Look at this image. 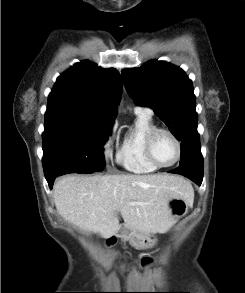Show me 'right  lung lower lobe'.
I'll return each instance as SVG.
<instances>
[{
  "mask_svg": "<svg viewBox=\"0 0 245 293\" xmlns=\"http://www.w3.org/2000/svg\"><path fill=\"white\" fill-rule=\"evenodd\" d=\"M95 171H84V172H81V173H93ZM56 177H53V178H50V179H47V182L49 184V187L52 189L53 187V183H54V180H55Z\"/></svg>",
  "mask_w": 245,
  "mask_h": 293,
  "instance_id": "98d812e1",
  "label": "right lung lower lobe"
}]
</instances>
